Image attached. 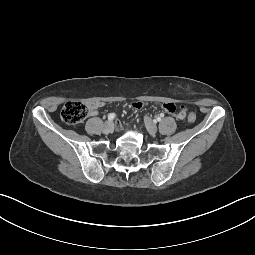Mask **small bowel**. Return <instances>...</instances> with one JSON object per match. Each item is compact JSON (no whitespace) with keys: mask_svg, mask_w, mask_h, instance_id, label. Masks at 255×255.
<instances>
[{"mask_svg":"<svg viewBox=\"0 0 255 255\" xmlns=\"http://www.w3.org/2000/svg\"><path fill=\"white\" fill-rule=\"evenodd\" d=\"M144 102H136L134 106L140 108L144 105ZM101 106V103H94L91 105L90 115L95 116L98 113V107ZM161 108L169 114H174L175 118L178 120H183L189 114V107L186 104L180 102L175 103H163Z\"/></svg>","mask_w":255,"mask_h":255,"instance_id":"1","label":"small bowel"}]
</instances>
